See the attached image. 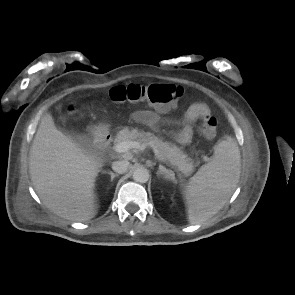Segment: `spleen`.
<instances>
[{"label":"spleen","mask_w":295,"mask_h":295,"mask_svg":"<svg viewBox=\"0 0 295 295\" xmlns=\"http://www.w3.org/2000/svg\"><path fill=\"white\" fill-rule=\"evenodd\" d=\"M240 172V151L236 141L228 136L214 147L213 157L184 189L191 224L203 223L225 205L237 187Z\"/></svg>","instance_id":"spleen-1"}]
</instances>
